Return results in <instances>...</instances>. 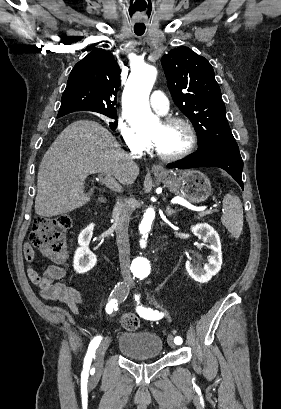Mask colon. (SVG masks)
<instances>
[{
    "label": "colon",
    "mask_w": 281,
    "mask_h": 409,
    "mask_svg": "<svg viewBox=\"0 0 281 409\" xmlns=\"http://www.w3.org/2000/svg\"><path fill=\"white\" fill-rule=\"evenodd\" d=\"M72 225V219L66 214L58 216H38L35 219L33 231L30 235V245L26 249H39L58 264L66 263L69 256L65 231ZM119 322L128 330H137L140 326L139 318L132 313H124Z\"/></svg>",
    "instance_id": "1"
}]
</instances>
